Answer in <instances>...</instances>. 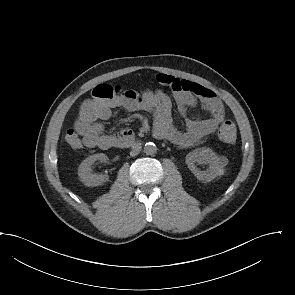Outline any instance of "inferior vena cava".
<instances>
[{
  "label": "inferior vena cava",
  "mask_w": 295,
  "mask_h": 295,
  "mask_svg": "<svg viewBox=\"0 0 295 295\" xmlns=\"http://www.w3.org/2000/svg\"><path fill=\"white\" fill-rule=\"evenodd\" d=\"M140 151H141V146H140V145H134V146L132 147V150H131V152H130V155H131V156H136V155L139 154Z\"/></svg>",
  "instance_id": "1"
}]
</instances>
